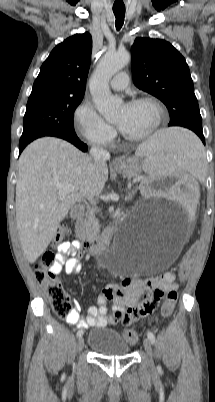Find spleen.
Instances as JSON below:
<instances>
[{
	"mask_svg": "<svg viewBox=\"0 0 215 402\" xmlns=\"http://www.w3.org/2000/svg\"><path fill=\"white\" fill-rule=\"evenodd\" d=\"M204 146L192 128H165L142 143L138 155L145 156L143 170L150 175L189 174L190 182H199L205 164Z\"/></svg>",
	"mask_w": 215,
	"mask_h": 402,
	"instance_id": "spleen-1",
	"label": "spleen"
}]
</instances>
